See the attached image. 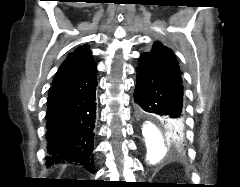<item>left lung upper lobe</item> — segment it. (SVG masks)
<instances>
[{"label":"left lung upper lobe","instance_id":"1","mask_svg":"<svg viewBox=\"0 0 240 187\" xmlns=\"http://www.w3.org/2000/svg\"><path fill=\"white\" fill-rule=\"evenodd\" d=\"M147 55L168 77L182 83L180 69L173 52L162 43L156 41L150 52L143 53L140 58ZM161 127L165 130L166 136L170 143L174 144L176 148L182 149L184 147V132H180L175 139L170 136L166 128V124L162 119H156Z\"/></svg>","mask_w":240,"mask_h":187}]
</instances>
